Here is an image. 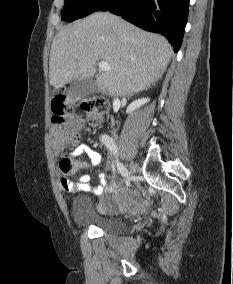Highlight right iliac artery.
Wrapping results in <instances>:
<instances>
[{"label": "right iliac artery", "instance_id": "82829eb1", "mask_svg": "<svg viewBox=\"0 0 233 284\" xmlns=\"http://www.w3.org/2000/svg\"><path fill=\"white\" fill-rule=\"evenodd\" d=\"M101 142L116 156V167L118 169V172L123 176H128V170L127 168L118 160L117 154H118V148L114 140L109 137L106 134L101 135L100 137Z\"/></svg>", "mask_w": 233, "mask_h": 284}]
</instances>
